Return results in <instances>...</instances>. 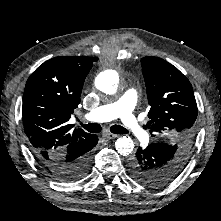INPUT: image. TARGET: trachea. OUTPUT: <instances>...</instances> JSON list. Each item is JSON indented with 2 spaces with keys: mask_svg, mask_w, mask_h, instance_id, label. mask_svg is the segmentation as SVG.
Instances as JSON below:
<instances>
[{
  "mask_svg": "<svg viewBox=\"0 0 221 221\" xmlns=\"http://www.w3.org/2000/svg\"><path fill=\"white\" fill-rule=\"evenodd\" d=\"M82 126L91 133H99L101 131V126L97 123H88ZM110 131L114 134H127L128 131L120 125H113L110 127Z\"/></svg>",
  "mask_w": 221,
  "mask_h": 221,
  "instance_id": "obj_1",
  "label": "trachea"
}]
</instances>
